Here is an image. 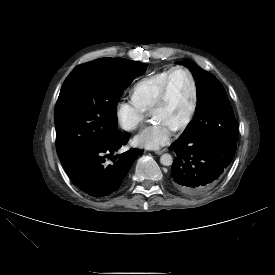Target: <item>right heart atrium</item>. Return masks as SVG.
I'll return each mask as SVG.
<instances>
[{"label":"right heart atrium","instance_id":"obj_1","mask_svg":"<svg viewBox=\"0 0 275 275\" xmlns=\"http://www.w3.org/2000/svg\"><path fill=\"white\" fill-rule=\"evenodd\" d=\"M146 111L133 101L120 99L115 106V118L119 126L125 131L136 130L144 121Z\"/></svg>","mask_w":275,"mask_h":275}]
</instances>
